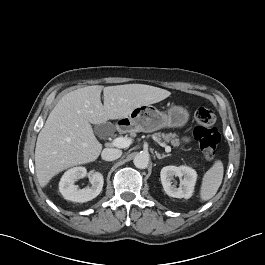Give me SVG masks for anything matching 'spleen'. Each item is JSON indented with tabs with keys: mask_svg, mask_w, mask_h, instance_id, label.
Masks as SVG:
<instances>
[{
	"mask_svg": "<svg viewBox=\"0 0 265 265\" xmlns=\"http://www.w3.org/2000/svg\"><path fill=\"white\" fill-rule=\"evenodd\" d=\"M224 174L223 163L216 160L212 167L204 174L200 188V199L207 201L217 193Z\"/></svg>",
	"mask_w": 265,
	"mask_h": 265,
	"instance_id": "spleen-1",
	"label": "spleen"
}]
</instances>
